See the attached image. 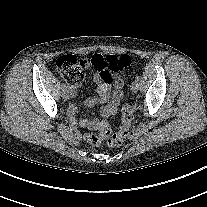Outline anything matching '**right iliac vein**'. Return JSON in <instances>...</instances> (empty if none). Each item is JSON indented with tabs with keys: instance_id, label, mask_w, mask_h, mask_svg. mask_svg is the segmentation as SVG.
Wrapping results in <instances>:
<instances>
[{
	"instance_id": "63e3f726",
	"label": "right iliac vein",
	"mask_w": 207,
	"mask_h": 207,
	"mask_svg": "<svg viewBox=\"0 0 207 207\" xmlns=\"http://www.w3.org/2000/svg\"><path fill=\"white\" fill-rule=\"evenodd\" d=\"M62 97H63L64 100H68L69 99L70 94H69V91L67 89H64L62 91Z\"/></svg>"
}]
</instances>
